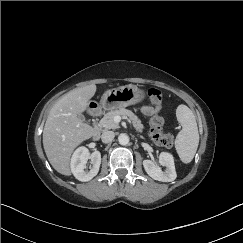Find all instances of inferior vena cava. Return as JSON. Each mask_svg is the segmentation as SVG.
Listing matches in <instances>:
<instances>
[{
  "mask_svg": "<svg viewBox=\"0 0 243 243\" xmlns=\"http://www.w3.org/2000/svg\"><path fill=\"white\" fill-rule=\"evenodd\" d=\"M115 137V133L113 131H105L101 135V140L103 143L111 142Z\"/></svg>",
  "mask_w": 243,
  "mask_h": 243,
  "instance_id": "inferior-vena-cava-1",
  "label": "inferior vena cava"
}]
</instances>
